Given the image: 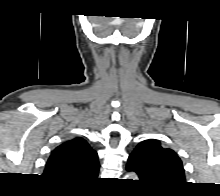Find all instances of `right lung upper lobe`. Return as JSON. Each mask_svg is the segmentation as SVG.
I'll use <instances>...</instances> for the list:
<instances>
[{"label":"right lung upper lobe","mask_w":220,"mask_h":196,"mask_svg":"<svg viewBox=\"0 0 220 196\" xmlns=\"http://www.w3.org/2000/svg\"><path fill=\"white\" fill-rule=\"evenodd\" d=\"M98 171L97 153L86 140L77 137L54 149L47 161L44 177L58 183L81 185L95 179Z\"/></svg>","instance_id":"obj_1"}]
</instances>
